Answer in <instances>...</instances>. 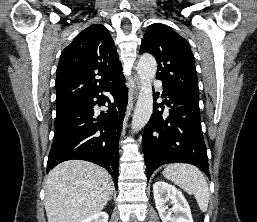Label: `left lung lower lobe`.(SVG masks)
Wrapping results in <instances>:
<instances>
[{
	"label": "left lung lower lobe",
	"mask_w": 257,
	"mask_h": 222,
	"mask_svg": "<svg viewBox=\"0 0 257 222\" xmlns=\"http://www.w3.org/2000/svg\"><path fill=\"white\" fill-rule=\"evenodd\" d=\"M162 97L166 99L154 104L142 137L147 181L158 167L168 163L193 164L210 178L199 99L165 85ZM164 104L169 107L168 116L163 115Z\"/></svg>",
	"instance_id": "obj_1"
}]
</instances>
